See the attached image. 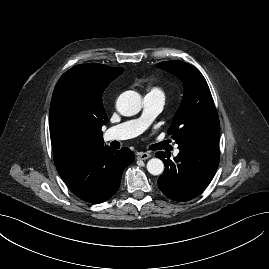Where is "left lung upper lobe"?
Instances as JSON below:
<instances>
[{
	"label": "left lung upper lobe",
	"instance_id": "left-lung-upper-lobe-1",
	"mask_svg": "<svg viewBox=\"0 0 269 269\" xmlns=\"http://www.w3.org/2000/svg\"><path fill=\"white\" fill-rule=\"evenodd\" d=\"M158 67L177 75L184 83L183 100L168 129L178 148L194 146L199 140L219 141L218 114L200 71L181 61H164Z\"/></svg>",
	"mask_w": 269,
	"mask_h": 269
}]
</instances>
